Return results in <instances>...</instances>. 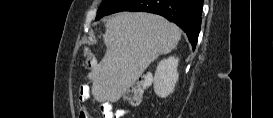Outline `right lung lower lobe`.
<instances>
[{"label": "right lung lower lobe", "instance_id": "1", "mask_svg": "<svg viewBox=\"0 0 273 118\" xmlns=\"http://www.w3.org/2000/svg\"><path fill=\"white\" fill-rule=\"evenodd\" d=\"M203 0H123L113 11H143L161 15L187 34L195 49L201 26Z\"/></svg>", "mask_w": 273, "mask_h": 118}]
</instances>
